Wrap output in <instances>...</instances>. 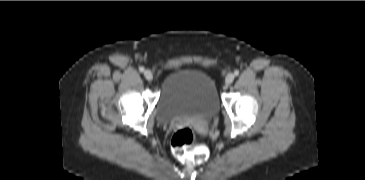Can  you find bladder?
<instances>
[{
	"label": "bladder",
	"instance_id": "obj_1",
	"mask_svg": "<svg viewBox=\"0 0 365 180\" xmlns=\"http://www.w3.org/2000/svg\"><path fill=\"white\" fill-rule=\"evenodd\" d=\"M220 109V98L213 78L194 68L172 71L164 80L157 101L159 122L170 123L181 119H207Z\"/></svg>",
	"mask_w": 365,
	"mask_h": 180
}]
</instances>
